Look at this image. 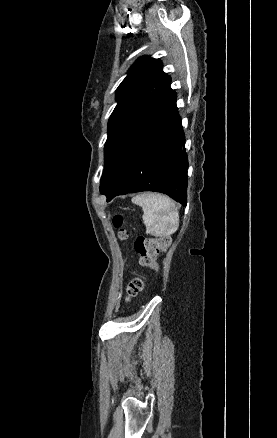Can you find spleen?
<instances>
[{
	"mask_svg": "<svg viewBox=\"0 0 277 438\" xmlns=\"http://www.w3.org/2000/svg\"><path fill=\"white\" fill-rule=\"evenodd\" d=\"M133 204L141 206L144 214L143 224L146 226V234L151 236H171L179 226V214L177 208L168 196L161 194H140L132 198Z\"/></svg>",
	"mask_w": 277,
	"mask_h": 438,
	"instance_id": "3e777b00",
	"label": "spleen"
}]
</instances>
